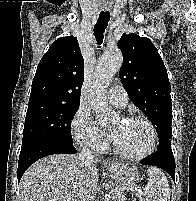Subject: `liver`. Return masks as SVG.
Returning a JSON list of instances; mask_svg holds the SVG:
<instances>
[{
	"instance_id": "obj_1",
	"label": "liver",
	"mask_w": 196,
	"mask_h": 201,
	"mask_svg": "<svg viewBox=\"0 0 196 201\" xmlns=\"http://www.w3.org/2000/svg\"><path fill=\"white\" fill-rule=\"evenodd\" d=\"M123 166L109 164L108 171ZM96 162L77 155L53 154L35 162L19 184L20 201H92L98 190Z\"/></svg>"
}]
</instances>
